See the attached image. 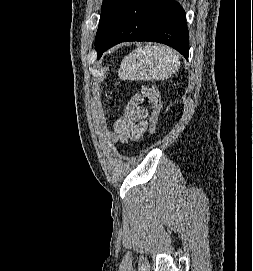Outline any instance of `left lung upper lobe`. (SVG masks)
<instances>
[{"instance_id": "obj_1", "label": "left lung upper lobe", "mask_w": 253, "mask_h": 271, "mask_svg": "<svg viewBox=\"0 0 253 271\" xmlns=\"http://www.w3.org/2000/svg\"><path fill=\"white\" fill-rule=\"evenodd\" d=\"M130 0H103L95 47L97 53L109 39L123 16Z\"/></svg>"}]
</instances>
